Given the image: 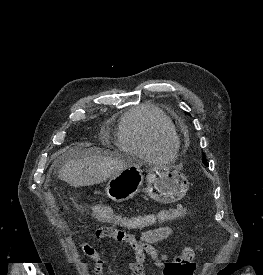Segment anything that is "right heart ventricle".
I'll list each match as a JSON object with an SVG mask.
<instances>
[{"label":"right heart ventricle","instance_id":"1","mask_svg":"<svg viewBox=\"0 0 263 275\" xmlns=\"http://www.w3.org/2000/svg\"><path fill=\"white\" fill-rule=\"evenodd\" d=\"M165 135L163 139L161 136ZM117 146L140 157H172L177 136L172 121L154 105H143L126 112L119 123Z\"/></svg>","mask_w":263,"mask_h":275}]
</instances>
